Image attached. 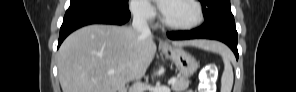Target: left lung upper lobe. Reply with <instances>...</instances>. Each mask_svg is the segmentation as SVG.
Wrapping results in <instances>:
<instances>
[{
    "label": "left lung upper lobe",
    "instance_id": "left-lung-upper-lobe-1",
    "mask_svg": "<svg viewBox=\"0 0 296 92\" xmlns=\"http://www.w3.org/2000/svg\"><path fill=\"white\" fill-rule=\"evenodd\" d=\"M203 7L205 21L200 27L212 30L223 24H235L231 12L230 0H199Z\"/></svg>",
    "mask_w": 296,
    "mask_h": 92
}]
</instances>
